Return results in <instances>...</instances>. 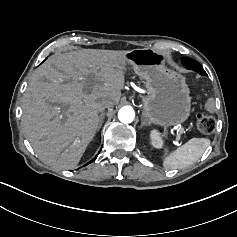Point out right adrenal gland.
Returning <instances> with one entry per match:
<instances>
[{
  "mask_svg": "<svg viewBox=\"0 0 237 237\" xmlns=\"http://www.w3.org/2000/svg\"><path fill=\"white\" fill-rule=\"evenodd\" d=\"M100 118V122H99V125H98V128H97V131L101 128L102 124H103V120L105 118V113L102 111V113L100 114L99 116Z\"/></svg>",
  "mask_w": 237,
  "mask_h": 237,
  "instance_id": "2a0ac1e0",
  "label": "right adrenal gland"
}]
</instances>
